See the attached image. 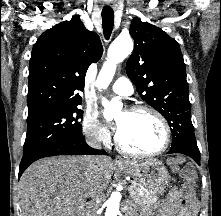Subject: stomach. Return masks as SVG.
<instances>
[{
  "instance_id": "obj_1",
  "label": "stomach",
  "mask_w": 221,
  "mask_h": 216,
  "mask_svg": "<svg viewBox=\"0 0 221 216\" xmlns=\"http://www.w3.org/2000/svg\"><path fill=\"white\" fill-rule=\"evenodd\" d=\"M120 170L155 194H163L169 186L170 176L162 162L156 159L142 163L130 162Z\"/></svg>"
}]
</instances>
